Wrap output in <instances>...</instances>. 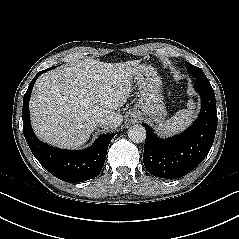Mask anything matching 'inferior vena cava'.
<instances>
[{"instance_id":"obj_1","label":"inferior vena cava","mask_w":239,"mask_h":239,"mask_svg":"<svg viewBox=\"0 0 239 239\" xmlns=\"http://www.w3.org/2000/svg\"><path fill=\"white\" fill-rule=\"evenodd\" d=\"M98 124L100 125H107L110 123V118L109 117H100L98 120H97Z\"/></svg>"}]
</instances>
